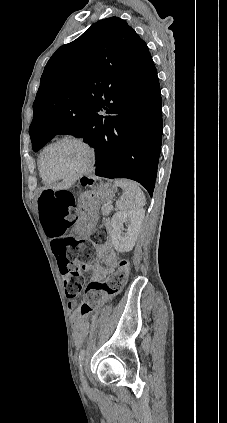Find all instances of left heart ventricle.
Returning <instances> with one entry per match:
<instances>
[{"label":"left heart ventricle","mask_w":227,"mask_h":423,"mask_svg":"<svg viewBox=\"0 0 227 423\" xmlns=\"http://www.w3.org/2000/svg\"><path fill=\"white\" fill-rule=\"evenodd\" d=\"M88 158V151L82 145L65 142L48 152L46 165L54 173L74 174L87 164Z\"/></svg>","instance_id":"left-heart-ventricle-1"}]
</instances>
